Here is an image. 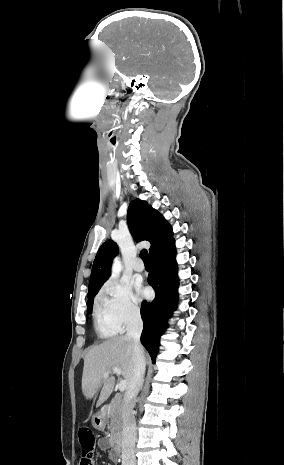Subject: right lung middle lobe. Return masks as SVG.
Segmentation results:
<instances>
[{"mask_svg": "<svg viewBox=\"0 0 284 465\" xmlns=\"http://www.w3.org/2000/svg\"><path fill=\"white\" fill-rule=\"evenodd\" d=\"M95 295H96V294L87 296V297L89 298V300L87 301V313H89V314L92 312V304H93L92 298H93Z\"/></svg>", "mask_w": 284, "mask_h": 465, "instance_id": "dd1d6c3e", "label": "right lung middle lobe"}]
</instances>
